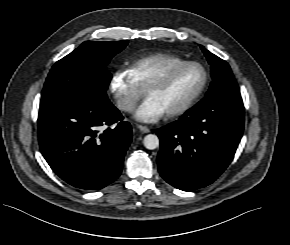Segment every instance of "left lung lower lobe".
Returning <instances> with one entry per match:
<instances>
[{"label": "left lung lower lobe", "instance_id": "1", "mask_svg": "<svg viewBox=\"0 0 290 245\" xmlns=\"http://www.w3.org/2000/svg\"><path fill=\"white\" fill-rule=\"evenodd\" d=\"M243 129L241 97L199 102L178 121L156 130L160 175L184 191L211 184L232 161Z\"/></svg>", "mask_w": 290, "mask_h": 245}]
</instances>
